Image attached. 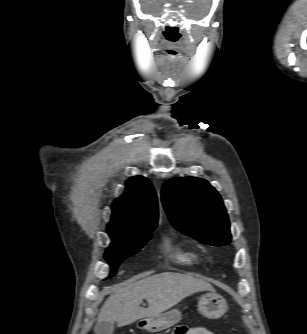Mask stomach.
Listing matches in <instances>:
<instances>
[{
    "label": "stomach",
    "instance_id": "obj_1",
    "mask_svg": "<svg viewBox=\"0 0 307 334\" xmlns=\"http://www.w3.org/2000/svg\"><path fill=\"white\" fill-rule=\"evenodd\" d=\"M226 300L215 292L206 293L199 298V312L209 318L218 319L227 311ZM182 319V313L178 309H172L139 321L138 327L151 332H158L170 328Z\"/></svg>",
    "mask_w": 307,
    "mask_h": 334
}]
</instances>
